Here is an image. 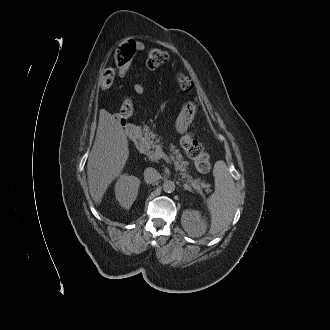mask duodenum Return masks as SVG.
<instances>
[{
  "instance_id": "duodenum-1",
  "label": "duodenum",
  "mask_w": 330,
  "mask_h": 330,
  "mask_svg": "<svg viewBox=\"0 0 330 330\" xmlns=\"http://www.w3.org/2000/svg\"><path fill=\"white\" fill-rule=\"evenodd\" d=\"M125 133L128 139L136 140L139 137L140 131L136 126L128 124L125 126Z\"/></svg>"
}]
</instances>
